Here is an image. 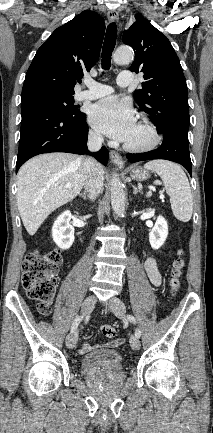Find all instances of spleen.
I'll return each mask as SVG.
<instances>
[{
    "mask_svg": "<svg viewBox=\"0 0 213 433\" xmlns=\"http://www.w3.org/2000/svg\"><path fill=\"white\" fill-rule=\"evenodd\" d=\"M144 168L160 176L170 196L174 216L182 222H188L192 217L193 198L188 178L182 168L166 160L150 161L144 165Z\"/></svg>",
    "mask_w": 213,
    "mask_h": 433,
    "instance_id": "spleen-1",
    "label": "spleen"
}]
</instances>
